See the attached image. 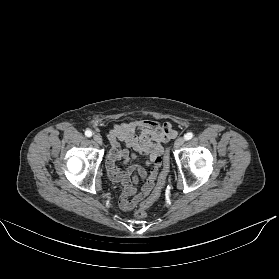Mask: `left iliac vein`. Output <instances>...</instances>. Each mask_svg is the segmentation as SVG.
I'll use <instances>...</instances> for the list:
<instances>
[{"label": "left iliac vein", "instance_id": "4c4485c4", "mask_svg": "<svg viewBox=\"0 0 279 279\" xmlns=\"http://www.w3.org/2000/svg\"><path fill=\"white\" fill-rule=\"evenodd\" d=\"M185 143V139L183 137H179L174 142V148L178 149Z\"/></svg>", "mask_w": 279, "mask_h": 279}]
</instances>
